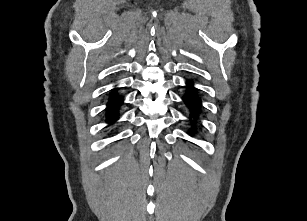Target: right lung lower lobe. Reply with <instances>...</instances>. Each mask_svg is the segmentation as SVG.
Wrapping results in <instances>:
<instances>
[{
	"instance_id": "obj_1",
	"label": "right lung lower lobe",
	"mask_w": 307,
	"mask_h": 221,
	"mask_svg": "<svg viewBox=\"0 0 307 221\" xmlns=\"http://www.w3.org/2000/svg\"><path fill=\"white\" fill-rule=\"evenodd\" d=\"M116 89H114V94L111 96L108 107H107V122L112 123L117 120L118 108L122 104L123 99L115 94Z\"/></svg>"
}]
</instances>
